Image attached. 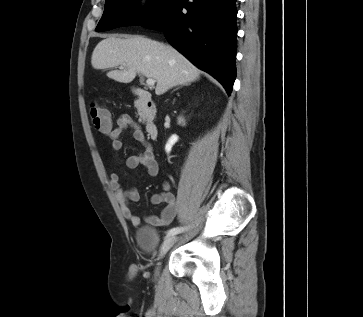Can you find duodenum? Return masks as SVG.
<instances>
[{
    "mask_svg": "<svg viewBox=\"0 0 363 317\" xmlns=\"http://www.w3.org/2000/svg\"><path fill=\"white\" fill-rule=\"evenodd\" d=\"M135 95L139 109L144 113L146 117L145 127L149 136L153 139L158 138L159 129L153 120L154 104L150 93L146 90L137 88L135 89Z\"/></svg>",
    "mask_w": 363,
    "mask_h": 317,
    "instance_id": "duodenum-1",
    "label": "duodenum"
}]
</instances>
